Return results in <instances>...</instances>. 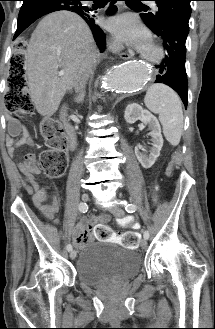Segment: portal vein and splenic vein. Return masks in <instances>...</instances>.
Instances as JSON below:
<instances>
[{
  "label": "portal vein and splenic vein",
  "instance_id": "portal-vein-and-splenic-vein-1",
  "mask_svg": "<svg viewBox=\"0 0 215 329\" xmlns=\"http://www.w3.org/2000/svg\"><path fill=\"white\" fill-rule=\"evenodd\" d=\"M64 74V72L63 71H61V72H59V75L61 76V75H63Z\"/></svg>",
  "mask_w": 215,
  "mask_h": 329
}]
</instances>
